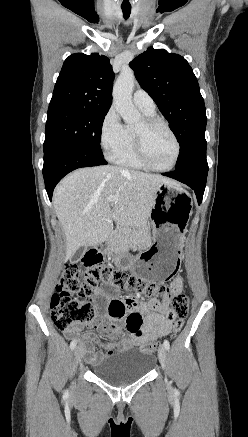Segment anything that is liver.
I'll list each match as a JSON object with an SVG mask.
<instances>
[{
    "mask_svg": "<svg viewBox=\"0 0 248 437\" xmlns=\"http://www.w3.org/2000/svg\"><path fill=\"white\" fill-rule=\"evenodd\" d=\"M161 184L168 178L116 166L81 168L66 176L55 188L53 205L66 237V260L83 246L104 242L119 228L145 227ZM116 196L111 205L109 196Z\"/></svg>",
    "mask_w": 248,
    "mask_h": 437,
    "instance_id": "obj_1",
    "label": "liver"
}]
</instances>
